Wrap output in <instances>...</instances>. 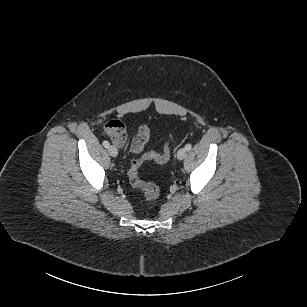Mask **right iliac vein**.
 Segmentation results:
<instances>
[{"label": "right iliac vein", "instance_id": "1", "mask_svg": "<svg viewBox=\"0 0 307 307\" xmlns=\"http://www.w3.org/2000/svg\"><path fill=\"white\" fill-rule=\"evenodd\" d=\"M108 152L112 157H116L118 155V150L114 145L108 147Z\"/></svg>", "mask_w": 307, "mask_h": 307}]
</instances>
